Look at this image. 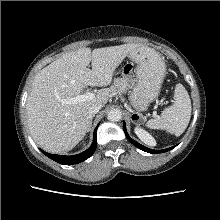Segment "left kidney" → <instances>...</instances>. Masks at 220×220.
<instances>
[{
    "instance_id": "5707ae66",
    "label": "left kidney",
    "mask_w": 220,
    "mask_h": 220,
    "mask_svg": "<svg viewBox=\"0 0 220 220\" xmlns=\"http://www.w3.org/2000/svg\"><path fill=\"white\" fill-rule=\"evenodd\" d=\"M134 131H135V134L137 135V137L145 144H147L149 146L156 145L155 139L148 132L143 130L142 128L136 127L134 129Z\"/></svg>"
}]
</instances>
